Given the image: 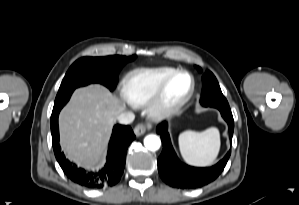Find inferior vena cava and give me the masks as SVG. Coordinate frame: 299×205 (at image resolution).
Wrapping results in <instances>:
<instances>
[{"label": "inferior vena cava", "mask_w": 299, "mask_h": 205, "mask_svg": "<svg viewBox=\"0 0 299 205\" xmlns=\"http://www.w3.org/2000/svg\"><path fill=\"white\" fill-rule=\"evenodd\" d=\"M134 118H135V115L134 113L132 112H124V113H121L117 116V121L120 123V124H130L134 121Z\"/></svg>", "instance_id": "inferior-vena-cava-1"}]
</instances>
